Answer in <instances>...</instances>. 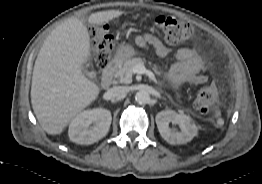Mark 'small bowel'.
Wrapping results in <instances>:
<instances>
[{"mask_svg":"<svg viewBox=\"0 0 262 184\" xmlns=\"http://www.w3.org/2000/svg\"><path fill=\"white\" fill-rule=\"evenodd\" d=\"M133 41L140 47L153 48L159 57H166L169 53L168 47L152 34L135 35ZM176 58L177 63L169 71V76L175 84L192 83L200 85L208 81L204 73V63L192 49L188 47L179 48L176 52Z\"/></svg>","mask_w":262,"mask_h":184,"instance_id":"small-bowel-1","label":"small bowel"}]
</instances>
